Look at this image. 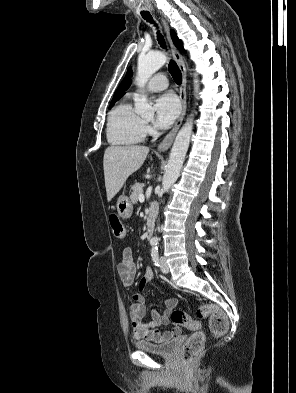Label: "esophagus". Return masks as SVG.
<instances>
[{"label": "esophagus", "mask_w": 296, "mask_h": 393, "mask_svg": "<svg viewBox=\"0 0 296 393\" xmlns=\"http://www.w3.org/2000/svg\"><path fill=\"white\" fill-rule=\"evenodd\" d=\"M162 24L164 26V30L165 33L167 35L168 41L171 45L172 48V53H173V57L182 73V83H181V87H180V91H179V99L181 102V112L179 117L177 118L172 130L166 135V137L163 139V141L159 144L158 146V150L161 152H166L172 145L175 136L177 134V131L179 130L182 121L185 117L186 114V110H187V95H186V87H187V75H186V69L184 66V61H183V57L180 53V51L175 47V45L173 44L171 37H170V28L167 24V22L162 19Z\"/></svg>", "instance_id": "obj_1"}]
</instances>
